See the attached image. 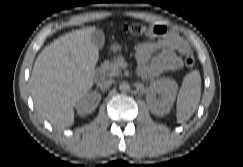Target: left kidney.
<instances>
[{"label": "left kidney", "instance_id": "left-kidney-1", "mask_svg": "<svg viewBox=\"0 0 243 167\" xmlns=\"http://www.w3.org/2000/svg\"><path fill=\"white\" fill-rule=\"evenodd\" d=\"M178 85L174 80L161 79L150 84V93L146 95V102L152 114L162 116L170 112L176 98ZM161 93L162 99L156 100L155 93Z\"/></svg>", "mask_w": 243, "mask_h": 167}]
</instances>
